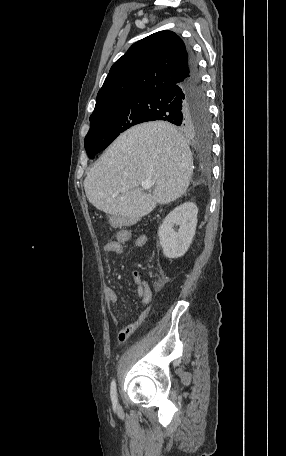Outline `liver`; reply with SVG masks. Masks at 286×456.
<instances>
[{
    "label": "liver",
    "mask_w": 286,
    "mask_h": 456,
    "mask_svg": "<svg viewBox=\"0 0 286 456\" xmlns=\"http://www.w3.org/2000/svg\"><path fill=\"white\" fill-rule=\"evenodd\" d=\"M193 158L187 141L167 122L139 124L122 133L96 161L84 180L97 209L136 222L156 204H168L189 187ZM154 182L153 195L141 188Z\"/></svg>",
    "instance_id": "liver-1"
}]
</instances>
